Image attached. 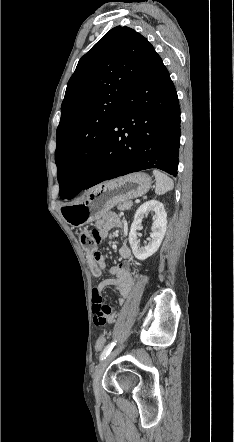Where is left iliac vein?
Masks as SVG:
<instances>
[{
    "instance_id": "4c4485c4",
    "label": "left iliac vein",
    "mask_w": 234,
    "mask_h": 442,
    "mask_svg": "<svg viewBox=\"0 0 234 442\" xmlns=\"http://www.w3.org/2000/svg\"><path fill=\"white\" fill-rule=\"evenodd\" d=\"M122 347L114 349L104 360H102L97 366L93 377V389L95 396L100 398V383L103 373L108 364L114 359V357L120 352Z\"/></svg>"
}]
</instances>
